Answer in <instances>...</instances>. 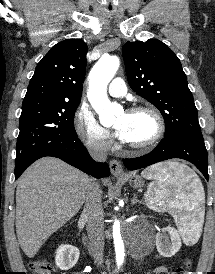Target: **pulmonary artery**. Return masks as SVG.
I'll list each match as a JSON object with an SVG mask.
<instances>
[{"label":"pulmonary artery","instance_id":"obj_1","mask_svg":"<svg viewBox=\"0 0 215 274\" xmlns=\"http://www.w3.org/2000/svg\"><path fill=\"white\" fill-rule=\"evenodd\" d=\"M108 92L113 97H123L127 92L124 80L120 77L114 78L108 87Z\"/></svg>","mask_w":215,"mask_h":274}]
</instances>
